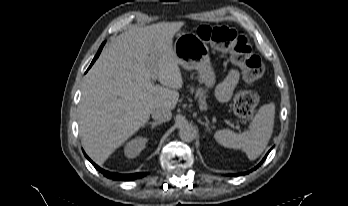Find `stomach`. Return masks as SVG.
I'll use <instances>...</instances> for the list:
<instances>
[{
  "label": "stomach",
  "mask_w": 348,
  "mask_h": 206,
  "mask_svg": "<svg viewBox=\"0 0 348 206\" xmlns=\"http://www.w3.org/2000/svg\"><path fill=\"white\" fill-rule=\"evenodd\" d=\"M174 53L180 66L187 70H197L199 81L206 88H212L216 81L211 66L209 49L205 42L194 33H181L174 44Z\"/></svg>",
  "instance_id": "stomach-1"
}]
</instances>
